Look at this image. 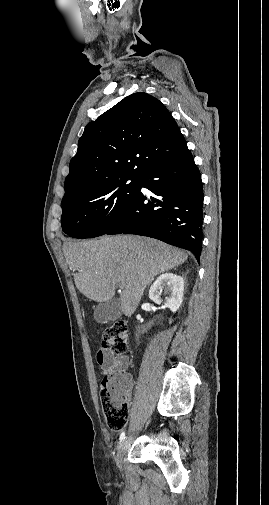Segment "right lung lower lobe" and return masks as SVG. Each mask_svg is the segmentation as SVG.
I'll list each match as a JSON object with an SVG mask.
<instances>
[{
  "label": "right lung lower lobe",
  "instance_id": "1",
  "mask_svg": "<svg viewBox=\"0 0 269 505\" xmlns=\"http://www.w3.org/2000/svg\"><path fill=\"white\" fill-rule=\"evenodd\" d=\"M139 192L106 234L148 236L191 251L199 261L203 239L201 174L185 145L150 166L138 179ZM145 187L154 196L144 195Z\"/></svg>",
  "mask_w": 269,
  "mask_h": 505
}]
</instances>
